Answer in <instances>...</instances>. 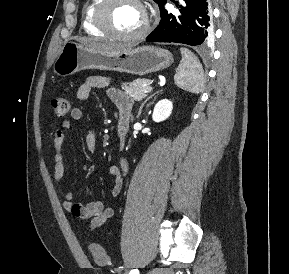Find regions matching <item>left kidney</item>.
Masks as SVG:
<instances>
[{"mask_svg": "<svg viewBox=\"0 0 289 274\" xmlns=\"http://www.w3.org/2000/svg\"><path fill=\"white\" fill-rule=\"evenodd\" d=\"M173 104L168 99L160 100L154 107L152 119L155 122L166 120L172 113Z\"/></svg>", "mask_w": 289, "mask_h": 274, "instance_id": "1", "label": "left kidney"}]
</instances>
